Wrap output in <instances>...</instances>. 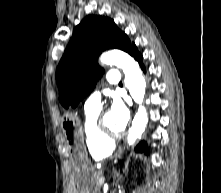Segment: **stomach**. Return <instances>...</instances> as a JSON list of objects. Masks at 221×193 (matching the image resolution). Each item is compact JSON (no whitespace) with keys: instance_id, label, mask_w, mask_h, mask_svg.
Returning a JSON list of instances; mask_svg holds the SVG:
<instances>
[{"instance_id":"0dacf381","label":"stomach","mask_w":221,"mask_h":193,"mask_svg":"<svg viewBox=\"0 0 221 193\" xmlns=\"http://www.w3.org/2000/svg\"><path fill=\"white\" fill-rule=\"evenodd\" d=\"M61 125L60 133L65 134V142H68L72 155L71 166L75 167L76 193H96L95 177H98V169L96 164L88 162L85 154L84 133L79 115H64Z\"/></svg>"}]
</instances>
